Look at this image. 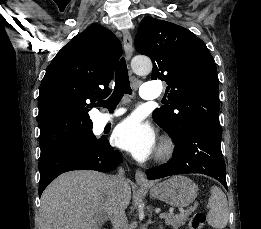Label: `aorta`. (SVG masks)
Segmentation results:
<instances>
[{"mask_svg":"<svg viewBox=\"0 0 261 229\" xmlns=\"http://www.w3.org/2000/svg\"><path fill=\"white\" fill-rule=\"evenodd\" d=\"M131 68L135 74H149L153 68L152 60L149 56H134L131 60Z\"/></svg>","mask_w":261,"mask_h":229,"instance_id":"762f6f07","label":"aorta"}]
</instances>
